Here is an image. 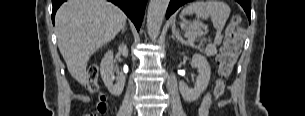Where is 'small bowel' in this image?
Listing matches in <instances>:
<instances>
[{"instance_id":"1","label":"small bowel","mask_w":305,"mask_h":116,"mask_svg":"<svg viewBox=\"0 0 305 116\" xmlns=\"http://www.w3.org/2000/svg\"><path fill=\"white\" fill-rule=\"evenodd\" d=\"M211 96L209 93H207L204 98L202 99L199 111H198V115L199 116H207L208 115V109L210 107L211 104Z\"/></svg>"}]
</instances>
